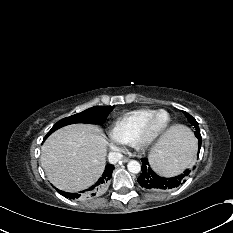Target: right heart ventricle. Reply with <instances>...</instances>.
<instances>
[{"label":"right heart ventricle","instance_id":"obj_1","mask_svg":"<svg viewBox=\"0 0 233 233\" xmlns=\"http://www.w3.org/2000/svg\"><path fill=\"white\" fill-rule=\"evenodd\" d=\"M154 111L150 108H141L120 116L112 125L111 138L121 145L132 144L141 125Z\"/></svg>","mask_w":233,"mask_h":233}]
</instances>
